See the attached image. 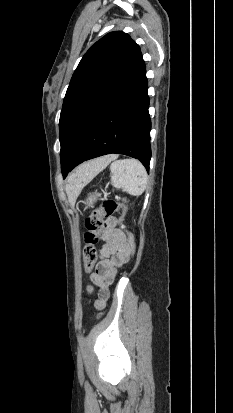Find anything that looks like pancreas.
<instances>
[{
  "mask_svg": "<svg viewBox=\"0 0 233 413\" xmlns=\"http://www.w3.org/2000/svg\"><path fill=\"white\" fill-rule=\"evenodd\" d=\"M122 200H123L124 202H126V199H125V198H123Z\"/></svg>",
  "mask_w": 233,
  "mask_h": 413,
  "instance_id": "cf45deb5",
  "label": "pancreas"
}]
</instances>
